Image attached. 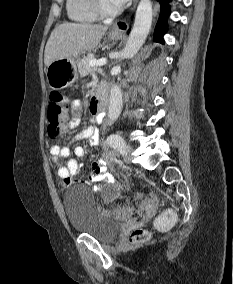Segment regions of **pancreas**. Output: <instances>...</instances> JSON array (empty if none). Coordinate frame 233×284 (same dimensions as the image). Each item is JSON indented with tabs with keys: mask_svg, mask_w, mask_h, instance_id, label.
I'll return each instance as SVG.
<instances>
[{
	"mask_svg": "<svg viewBox=\"0 0 233 284\" xmlns=\"http://www.w3.org/2000/svg\"><path fill=\"white\" fill-rule=\"evenodd\" d=\"M95 59L93 54H87L78 62V70L81 76L88 75L94 68L89 65L90 60Z\"/></svg>",
	"mask_w": 233,
	"mask_h": 284,
	"instance_id": "cf45deb5",
	"label": "pancreas"
}]
</instances>
